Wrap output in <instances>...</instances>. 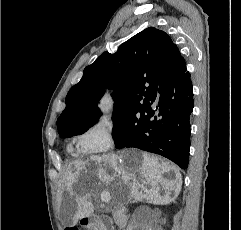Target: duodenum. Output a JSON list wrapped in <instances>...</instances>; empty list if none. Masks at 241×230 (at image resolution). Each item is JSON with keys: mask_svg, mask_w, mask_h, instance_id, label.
Wrapping results in <instances>:
<instances>
[{"mask_svg": "<svg viewBox=\"0 0 241 230\" xmlns=\"http://www.w3.org/2000/svg\"><path fill=\"white\" fill-rule=\"evenodd\" d=\"M81 224L86 228H98L101 224V219L95 215L84 216L81 219Z\"/></svg>", "mask_w": 241, "mask_h": 230, "instance_id": "duodenum-1", "label": "duodenum"}]
</instances>
